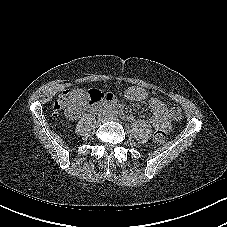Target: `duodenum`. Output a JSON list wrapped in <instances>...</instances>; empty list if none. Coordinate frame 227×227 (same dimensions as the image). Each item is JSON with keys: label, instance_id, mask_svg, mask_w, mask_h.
Returning a JSON list of instances; mask_svg holds the SVG:
<instances>
[{"label": "duodenum", "instance_id": "duodenum-1", "mask_svg": "<svg viewBox=\"0 0 227 227\" xmlns=\"http://www.w3.org/2000/svg\"><path fill=\"white\" fill-rule=\"evenodd\" d=\"M87 103L92 107L106 105L113 108V113L128 119L121 106H117L116 100L109 94L105 95L102 89L96 88L90 91L86 97Z\"/></svg>", "mask_w": 227, "mask_h": 227}]
</instances>
